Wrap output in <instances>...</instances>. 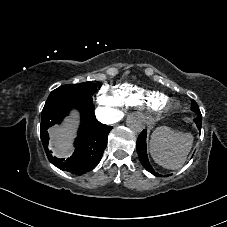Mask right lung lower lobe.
Here are the masks:
<instances>
[{
	"label": "right lung lower lobe",
	"instance_id": "98d812e1",
	"mask_svg": "<svg viewBox=\"0 0 227 227\" xmlns=\"http://www.w3.org/2000/svg\"><path fill=\"white\" fill-rule=\"evenodd\" d=\"M72 108L78 109L81 113V125L75 139V151L66 160L59 159L53 157L48 150L47 129L60 124ZM93 111V103L65 101L50 107L42 114L40 127L42 144L49 161L59 169L80 175L93 170L100 162L112 127L97 121Z\"/></svg>",
	"mask_w": 227,
	"mask_h": 227
}]
</instances>
